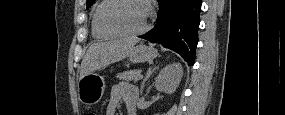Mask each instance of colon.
Wrapping results in <instances>:
<instances>
[{
  "instance_id": "1",
  "label": "colon",
  "mask_w": 285,
  "mask_h": 115,
  "mask_svg": "<svg viewBox=\"0 0 285 115\" xmlns=\"http://www.w3.org/2000/svg\"><path fill=\"white\" fill-rule=\"evenodd\" d=\"M88 115H96L95 112H89Z\"/></svg>"
}]
</instances>
